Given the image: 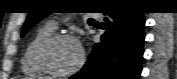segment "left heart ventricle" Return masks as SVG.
Wrapping results in <instances>:
<instances>
[{
    "label": "left heart ventricle",
    "mask_w": 177,
    "mask_h": 79,
    "mask_svg": "<svg viewBox=\"0 0 177 79\" xmlns=\"http://www.w3.org/2000/svg\"><path fill=\"white\" fill-rule=\"evenodd\" d=\"M79 58L80 52L77 44L69 40L51 45L46 52L47 62L58 71L74 68Z\"/></svg>",
    "instance_id": "left-heart-ventricle-1"
}]
</instances>
